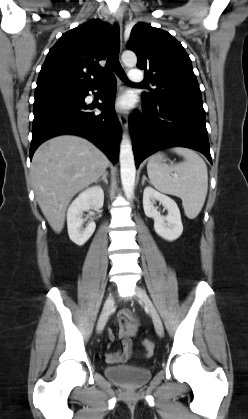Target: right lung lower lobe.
<instances>
[{"instance_id":"obj_1","label":"right lung lower lobe","mask_w":248,"mask_h":419,"mask_svg":"<svg viewBox=\"0 0 248 419\" xmlns=\"http://www.w3.org/2000/svg\"><path fill=\"white\" fill-rule=\"evenodd\" d=\"M98 87L99 84L77 93L35 96L30 159L44 141L61 134H74L89 139L114 163L117 162L121 126L114 111L117 82L113 74L106 80L100 96L102 103L96 104L104 111L95 114L89 111L95 105H86L84 100L89 90Z\"/></svg>"}]
</instances>
